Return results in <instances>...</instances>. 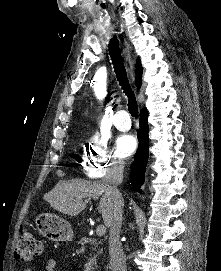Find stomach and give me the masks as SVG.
<instances>
[{"mask_svg":"<svg viewBox=\"0 0 221 271\" xmlns=\"http://www.w3.org/2000/svg\"><path fill=\"white\" fill-rule=\"evenodd\" d=\"M35 223L37 229H39L42 235L52 239V241H66V239H72L73 229L66 219L61 221L57 215H51V213H39L35 217Z\"/></svg>","mask_w":221,"mask_h":271,"instance_id":"stomach-1","label":"stomach"}]
</instances>
